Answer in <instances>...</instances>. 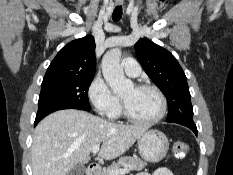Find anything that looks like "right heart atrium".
I'll list each match as a JSON object with an SVG mask.
<instances>
[{"instance_id": "right-heart-atrium-1", "label": "right heart atrium", "mask_w": 233, "mask_h": 175, "mask_svg": "<svg viewBox=\"0 0 233 175\" xmlns=\"http://www.w3.org/2000/svg\"><path fill=\"white\" fill-rule=\"evenodd\" d=\"M87 96L94 110L101 115L111 116L120 103L118 97L99 75L95 76L89 84Z\"/></svg>"}]
</instances>
